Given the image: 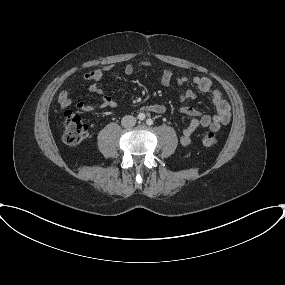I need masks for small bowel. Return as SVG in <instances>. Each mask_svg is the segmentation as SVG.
I'll return each instance as SVG.
<instances>
[{
  "instance_id": "small-bowel-1",
  "label": "small bowel",
  "mask_w": 285,
  "mask_h": 285,
  "mask_svg": "<svg viewBox=\"0 0 285 285\" xmlns=\"http://www.w3.org/2000/svg\"><path fill=\"white\" fill-rule=\"evenodd\" d=\"M137 67L150 68L151 63L149 61H141L136 65L127 64L124 67V73L126 75H132ZM109 69V67L95 69L84 75V79L90 82L88 88L89 92L98 96L100 98V101L98 103H86L80 101L76 104L77 109L84 112H89L96 107L114 108L116 106L114 99L111 96L104 94L103 90L98 86V81L104 76L107 71H109ZM160 81L164 87H169L173 81H175L178 86L185 83H191L198 91L210 94L212 102L216 109V113L210 116L203 115L197 109L192 107L185 106L179 108L180 113L193 118L188 126L182 131V134L180 136L181 145L189 146L192 143L194 132L200 127L207 128L215 132L218 131L223 125L229 123L231 118L230 105L224 99L220 90L213 88L210 78L206 76L184 75L177 77L174 80L173 74L170 70H163L160 75ZM195 97L196 92L193 89L187 90L180 95V99L182 101L190 100ZM58 102L62 109L68 108L73 103L69 89L63 90L59 93ZM143 109L145 111L153 112L156 114H162L166 111V107L163 104H151L145 106Z\"/></svg>"
}]
</instances>
